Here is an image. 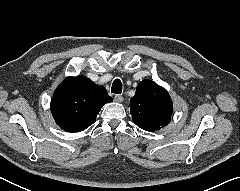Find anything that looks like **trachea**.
<instances>
[{
    "label": "trachea",
    "mask_w": 240,
    "mask_h": 191,
    "mask_svg": "<svg viewBox=\"0 0 240 191\" xmlns=\"http://www.w3.org/2000/svg\"><path fill=\"white\" fill-rule=\"evenodd\" d=\"M111 92L114 94H121L122 93V82L120 79H115L113 81Z\"/></svg>",
    "instance_id": "1"
}]
</instances>
